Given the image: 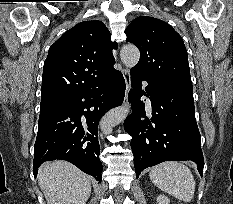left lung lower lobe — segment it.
<instances>
[{"label": "left lung lower lobe", "mask_w": 233, "mask_h": 204, "mask_svg": "<svg viewBox=\"0 0 233 204\" xmlns=\"http://www.w3.org/2000/svg\"><path fill=\"white\" fill-rule=\"evenodd\" d=\"M131 73L128 101L132 114L124 122L132 136L131 148L137 178L147 167L164 161H194L202 176L204 159L201 136L195 119L193 91L159 85L140 74ZM142 80L148 82L146 92ZM150 96L152 113L147 116L140 98Z\"/></svg>", "instance_id": "left-lung-lower-lobe-1"}]
</instances>
